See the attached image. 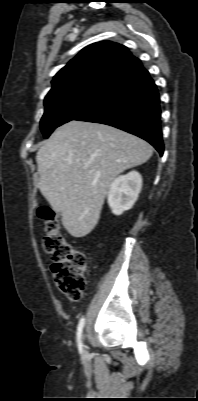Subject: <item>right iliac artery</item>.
Returning a JSON list of instances; mask_svg holds the SVG:
<instances>
[{"instance_id":"1","label":"right iliac artery","mask_w":198,"mask_h":401,"mask_svg":"<svg viewBox=\"0 0 198 401\" xmlns=\"http://www.w3.org/2000/svg\"><path fill=\"white\" fill-rule=\"evenodd\" d=\"M84 323H85V319L82 318L79 321V324H78V327H77V342H78V347H79L80 351H82L81 334H82V330H83V327H84Z\"/></svg>"}]
</instances>
